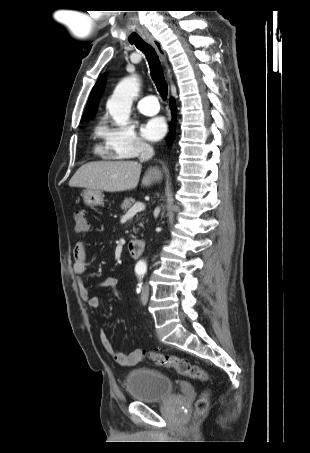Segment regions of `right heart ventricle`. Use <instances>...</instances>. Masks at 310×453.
Returning <instances> with one entry per match:
<instances>
[{
	"label": "right heart ventricle",
	"mask_w": 310,
	"mask_h": 453,
	"mask_svg": "<svg viewBox=\"0 0 310 453\" xmlns=\"http://www.w3.org/2000/svg\"><path fill=\"white\" fill-rule=\"evenodd\" d=\"M96 151L99 152V153L105 154L104 149L102 147H100V146H96Z\"/></svg>",
	"instance_id": "obj_1"
}]
</instances>
